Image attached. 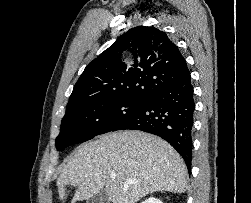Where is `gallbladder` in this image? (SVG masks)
Returning <instances> with one entry per match:
<instances>
[{"instance_id": "obj_1", "label": "gallbladder", "mask_w": 251, "mask_h": 203, "mask_svg": "<svg viewBox=\"0 0 251 203\" xmlns=\"http://www.w3.org/2000/svg\"><path fill=\"white\" fill-rule=\"evenodd\" d=\"M86 203H109L107 192L103 189L87 200Z\"/></svg>"}]
</instances>
